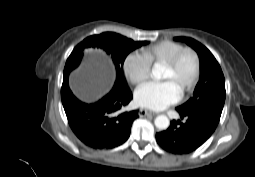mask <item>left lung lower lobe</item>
<instances>
[{"instance_id": "1", "label": "left lung lower lobe", "mask_w": 255, "mask_h": 177, "mask_svg": "<svg viewBox=\"0 0 255 177\" xmlns=\"http://www.w3.org/2000/svg\"><path fill=\"white\" fill-rule=\"evenodd\" d=\"M177 111L186 121L173 120L166 131L156 134V140L168 152L187 154L199 148L212 135L220 119L210 114Z\"/></svg>"}]
</instances>
